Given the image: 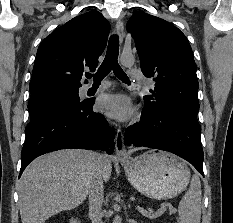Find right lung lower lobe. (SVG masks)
I'll return each instance as SVG.
<instances>
[{
    "label": "right lung lower lobe",
    "mask_w": 233,
    "mask_h": 223,
    "mask_svg": "<svg viewBox=\"0 0 233 223\" xmlns=\"http://www.w3.org/2000/svg\"><path fill=\"white\" fill-rule=\"evenodd\" d=\"M94 100H84L67 111L38 117L25 129L21 152V176L36 157L60 149H101L113 152L114 133L100 113L92 111Z\"/></svg>",
    "instance_id": "1"
}]
</instances>
